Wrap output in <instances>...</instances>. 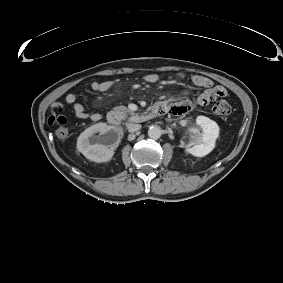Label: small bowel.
<instances>
[{
    "mask_svg": "<svg viewBox=\"0 0 283 283\" xmlns=\"http://www.w3.org/2000/svg\"><path fill=\"white\" fill-rule=\"evenodd\" d=\"M180 78L183 75H179ZM144 79L150 83H158L159 76L155 73L147 74ZM193 85L202 88L203 91L199 93L195 98V104L199 106H207L211 101L225 97L227 91L224 87L220 85H214L213 81L204 75H193L191 77ZM118 83V80H106V81H94L91 84V88L96 92H104L112 88ZM169 100L161 102L164 107L169 105V110L174 116L185 115L192 107V102L189 100H183L178 98L176 103L170 105ZM65 105H71L73 107L74 115L79 119H90L92 121H98L102 118V114L98 112H88L86 108L78 102L77 96L74 93H69L65 96L63 102H54L51 106L52 111L63 112ZM52 120H57L62 122L66 120V117L59 115L57 118L53 115Z\"/></svg>",
    "mask_w": 283,
    "mask_h": 283,
    "instance_id": "obj_1",
    "label": "small bowel"
}]
</instances>
